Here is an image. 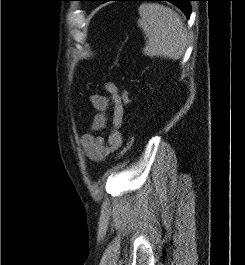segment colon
Wrapping results in <instances>:
<instances>
[{
	"mask_svg": "<svg viewBox=\"0 0 245 265\" xmlns=\"http://www.w3.org/2000/svg\"><path fill=\"white\" fill-rule=\"evenodd\" d=\"M121 96H122V102L124 105L129 104L131 101V97L128 91L124 90L121 92ZM133 145V138L132 137H128L123 149L120 152V156L125 155L128 151H130V149L132 148Z\"/></svg>",
	"mask_w": 245,
	"mask_h": 265,
	"instance_id": "obj_1",
	"label": "colon"
}]
</instances>
